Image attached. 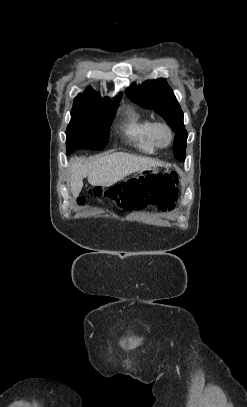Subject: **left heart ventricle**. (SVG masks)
<instances>
[{"label": "left heart ventricle", "mask_w": 247, "mask_h": 407, "mask_svg": "<svg viewBox=\"0 0 247 407\" xmlns=\"http://www.w3.org/2000/svg\"><path fill=\"white\" fill-rule=\"evenodd\" d=\"M160 137H161V140H162L163 143L167 142L168 137H167V134L164 131L161 132Z\"/></svg>", "instance_id": "1"}]
</instances>
